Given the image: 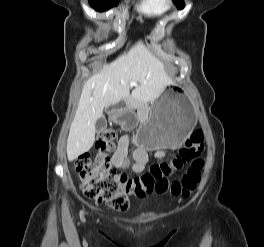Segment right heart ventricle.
I'll return each instance as SVG.
<instances>
[{"mask_svg": "<svg viewBox=\"0 0 264 247\" xmlns=\"http://www.w3.org/2000/svg\"><path fill=\"white\" fill-rule=\"evenodd\" d=\"M171 0H142L141 11L152 17H160L172 10Z\"/></svg>", "mask_w": 264, "mask_h": 247, "instance_id": "obj_1", "label": "right heart ventricle"}]
</instances>
